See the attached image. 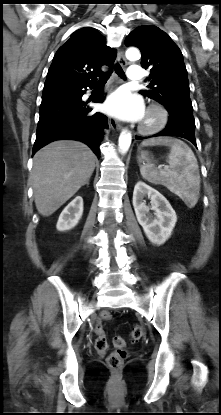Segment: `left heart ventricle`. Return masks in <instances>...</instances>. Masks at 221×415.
I'll list each match as a JSON object with an SVG mask.
<instances>
[{
  "label": "left heart ventricle",
  "mask_w": 221,
  "mask_h": 415,
  "mask_svg": "<svg viewBox=\"0 0 221 415\" xmlns=\"http://www.w3.org/2000/svg\"><path fill=\"white\" fill-rule=\"evenodd\" d=\"M152 118H153L152 115H145L144 120L150 121V120H152Z\"/></svg>",
  "instance_id": "b2bd125f"
}]
</instances>
